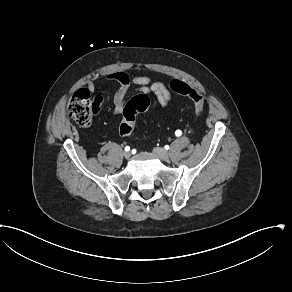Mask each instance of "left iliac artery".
<instances>
[{
    "label": "left iliac artery",
    "mask_w": 292,
    "mask_h": 292,
    "mask_svg": "<svg viewBox=\"0 0 292 292\" xmlns=\"http://www.w3.org/2000/svg\"><path fill=\"white\" fill-rule=\"evenodd\" d=\"M181 134H182V132H181L180 130H177V131L175 132V135H176L177 137L181 136Z\"/></svg>",
    "instance_id": "obj_1"
}]
</instances>
